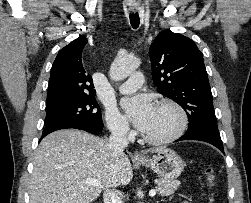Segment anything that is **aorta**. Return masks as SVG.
<instances>
[{
	"instance_id": "obj_1",
	"label": "aorta",
	"mask_w": 251,
	"mask_h": 203,
	"mask_svg": "<svg viewBox=\"0 0 251 203\" xmlns=\"http://www.w3.org/2000/svg\"><path fill=\"white\" fill-rule=\"evenodd\" d=\"M140 65V60L136 57L116 58L111 64L109 76L114 81H121L127 78Z\"/></svg>"
}]
</instances>
